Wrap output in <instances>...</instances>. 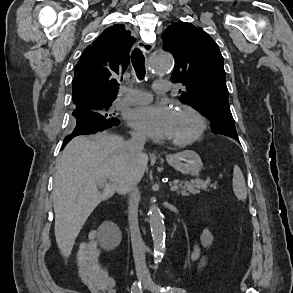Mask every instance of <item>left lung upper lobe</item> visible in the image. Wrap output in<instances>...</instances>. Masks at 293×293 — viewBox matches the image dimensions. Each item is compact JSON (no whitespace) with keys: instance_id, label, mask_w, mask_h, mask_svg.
Returning <instances> with one entry per match:
<instances>
[{"instance_id":"1","label":"left lung upper lobe","mask_w":293,"mask_h":293,"mask_svg":"<svg viewBox=\"0 0 293 293\" xmlns=\"http://www.w3.org/2000/svg\"><path fill=\"white\" fill-rule=\"evenodd\" d=\"M163 49L173 54L174 83H182L180 101L198 108L212 122V131L237 136L228 103L223 57L218 45L191 23H173L162 35Z\"/></svg>"}]
</instances>
